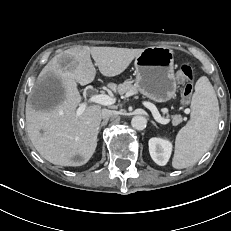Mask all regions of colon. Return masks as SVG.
Segmentation results:
<instances>
[{"mask_svg": "<svg viewBox=\"0 0 231 231\" xmlns=\"http://www.w3.org/2000/svg\"><path fill=\"white\" fill-rule=\"evenodd\" d=\"M193 70L188 64H183L177 73L178 79L182 81H192L193 80ZM193 92V87L191 83H187L182 89V101L188 103L191 99Z\"/></svg>", "mask_w": 231, "mask_h": 231, "instance_id": "obj_1", "label": "colon"}]
</instances>
